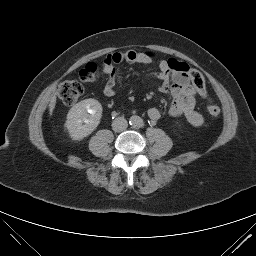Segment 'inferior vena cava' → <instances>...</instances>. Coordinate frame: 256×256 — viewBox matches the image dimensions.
I'll return each mask as SVG.
<instances>
[{
	"label": "inferior vena cava",
	"mask_w": 256,
	"mask_h": 256,
	"mask_svg": "<svg viewBox=\"0 0 256 256\" xmlns=\"http://www.w3.org/2000/svg\"><path fill=\"white\" fill-rule=\"evenodd\" d=\"M128 126V123L124 117H117L113 122H112V129L115 132H121L124 131Z\"/></svg>",
	"instance_id": "1"
}]
</instances>
